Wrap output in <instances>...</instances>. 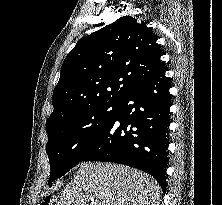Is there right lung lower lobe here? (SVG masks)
Returning a JSON list of instances; mask_svg holds the SVG:
<instances>
[{"label":"right lung lower lobe","mask_w":222,"mask_h":205,"mask_svg":"<svg viewBox=\"0 0 222 205\" xmlns=\"http://www.w3.org/2000/svg\"><path fill=\"white\" fill-rule=\"evenodd\" d=\"M166 70L126 93L82 161L114 162L140 169L152 175L165 191L171 106Z\"/></svg>","instance_id":"right-lung-lower-lobe-1"}]
</instances>
